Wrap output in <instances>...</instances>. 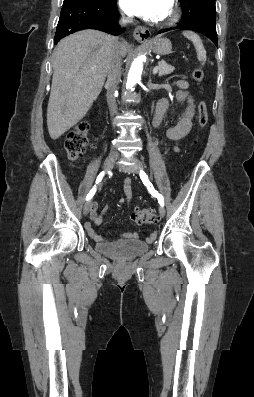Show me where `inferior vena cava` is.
Listing matches in <instances>:
<instances>
[{
  "label": "inferior vena cava",
  "instance_id": "obj_1",
  "mask_svg": "<svg viewBox=\"0 0 254 397\" xmlns=\"http://www.w3.org/2000/svg\"><path fill=\"white\" fill-rule=\"evenodd\" d=\"M130 19H122L121 23L126 25L131 23ZM121 50L120 43L116 39V43L111 49L110 59L108 65V78H107V102L111 115H115L117 112V104L114 97V92L121 80Z\"/></svg>",
  "mask_w": 254,
  "mask_h": 397
}]
</instances>
